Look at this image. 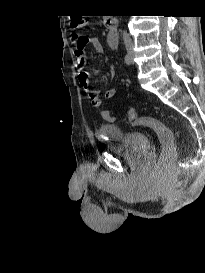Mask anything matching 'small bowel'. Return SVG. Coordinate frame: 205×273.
I'll use <instances>...</instances> for the list:
<instances>
[{
  "label": "small bowel",
  "instance_id": "obj_1",
  "mask_svg": "<svg viewBox=\"0 0 205 273\" xmlns=\"http://www.w3.org/2000/svg\"><path fill=\"white\" fill-rule=\"evenodd\" d=\"M108 41L109 44L114 47L115 46V40L112 38V35L108 34ZM87 45H90L93 50L96 53H102L103 47L101 43L99 42L98 38L96 37H87V36H78L75 39V46H74V52H75V66L77 69V78L80 86L85 91L87 97L89 98L91 105L95 108H99L102 105V99L99 95V91L95 89H91L89 87V80H90V74L87 71H84V67L86 65V52L85 48ZM110 75L113 76L114 70L113 68L109 71ZM116 95V90L114 88H110L106 91L105 97L107 99H111ZM107 113H109L111 116L112 114L105 110L102 112L103 119L107 121H112L107 118ZM113 117V116H112Z\"/></svg>",
  "mask_w": 205,
  "mask_h": 273
}]
</instances>
